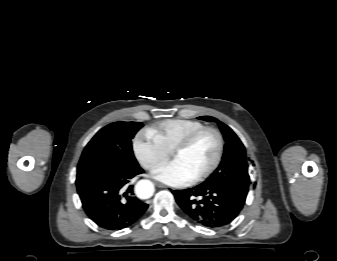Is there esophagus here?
<instances>
[{
	"label": "esophagus",
	"mask_w": 337,
	"mask_h": 261,
	"mask_svg": "<svg viewBox=\"0 0 337 261\" xmlns=\"http://www.w3.org/2000/svg\"><path fill=\"white\" fill-rule=\"evenodd\" d=\"M156 186L159 188H168L167 186H165L164 184L161 183H156Z\"/></svg>",
	"instance_id": "esophagus-1"
}]
</instances>
